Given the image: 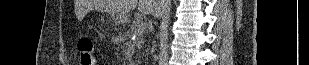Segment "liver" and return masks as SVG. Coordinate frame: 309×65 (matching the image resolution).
Returning a JSON list of instances; mask_svg holds the SVG:
<instances>
[{"label": "liver", "instance_id": "6515ba94", "mask_svg": "<svg viewBox=\"0 0 309 65\" xmlns=\"http://www.w3.org/2000/svg\"><path fill=\"white\" fill-rule=\"evenodd\" d=\"M143 15L152 14L154 17H161L165 10V2L162 0H97L90 7L100 11L111 13H125L135 9Z\"/></svg>", "mask_w": 309, "mask_h": 65}]
</instances>
